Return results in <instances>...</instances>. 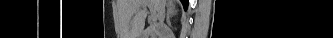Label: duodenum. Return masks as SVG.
I'll use <instances>...</instances> for the list:
<instances>
[{
  "mask_svg": "<svg viewBox=\"0 0 333 38\" xmlns=\"http://www.w3.org/2000/svg\"><path fill=\"white\" fill-rule=\"evenodd\" d=\"M148 34L147 31L143 32L142 37H145Z\"/></svg>",
  "mask_w": 333,
  "mask_h": 38,
  "instance_id": "obj_1",
  "label": "duodenum"
}]
</instances>
